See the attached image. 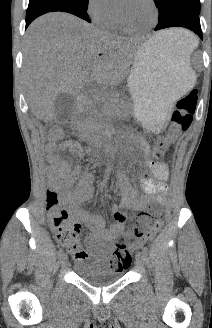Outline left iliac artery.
<instances>
[{"label":"left iliac artery","mask_w":212,"mask_h":328,"mask_svg":"<svg viewBox=\"0 0 212 328\" xmlns=\"http://www.w3.org/2000/svg\"><path fill=\"white\" fill-rule=\"evenodd\" d=\"M142 252L146 255L148 253V248L147 247H143L142 248Z\"/></svg>","instance_id":"44dca946"}]
</instances>
